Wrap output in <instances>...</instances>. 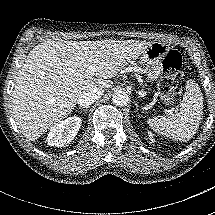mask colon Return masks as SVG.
Masks as SVG:
<instances>
[{"instance_id":"1","label":"colon","mask_w":215,"mask_h":215,"mask_svg":"<svg viewBox=\"0 0 215 215\" xmlns=\"http://www.w3.org/2000/svg\"><path fill=\"white\" fill-rule=\"evenodd\" d=\"M181 66L182 55L177 51H169L162 62L165 77L158 84V92L160 98L167 104H173L176 100L177 79L175 74L181 69Z\"/></svg>"}]
</instances>
